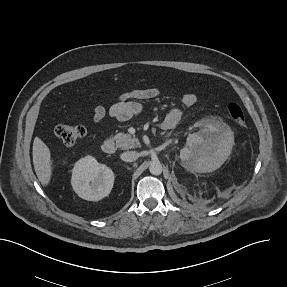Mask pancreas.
Wrapping results in <instances>:
<instances>
[{
	"mask_svg": "<svg viewBox=\"0 0 287 287\" xmlns=\"http://www.w3.org/2000/svg\"><path fill=\"white\" fill-rule=\"evenodd\" d=\"M113 139L116 142L117 148L123 150L140 147L139 140L130 134L118 133L113 137Z\"/></svg>",
	"mask_w": 287,
	"mask_h": 287,
	"instance_id": "cf45deb5",
	"label": "pancreas"
}]
</instances>
